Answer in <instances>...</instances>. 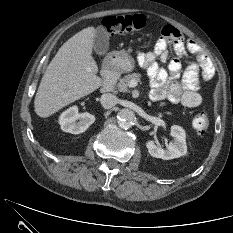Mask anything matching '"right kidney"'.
<instances>
[{"mask_svg":"<svg viewBox=\"0 0 233 233\" xmlns=\"http://www.w3.org/2000/svg\"><path fill=\"white\" fill-rule=\"evenodd\" d=\"M79 120V121H78ZM95 121L94 115L84 112L79 113L77 106H72L62 112L59 117V124L62 131L72 134H80L86 131Z\"/></svg>","mask_w":233,"mask_h":233,"instance_id":"right-kidney-1","label":"right kidney"}]
</instances>
